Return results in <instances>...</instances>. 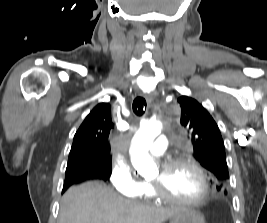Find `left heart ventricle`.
Listing matches in <instances>:
<instances>
[{"label": "left heart ventricle", "mask_w": 267, "mask_h": 223, "mask_svg": "<svg viewBox=\"0 0 267 223\" xmlns=\"http://www.w3.org/2000/svg\"><path fill=\"white\" fill-rule=\"evenodd\" d=\"M152 181L161 182L167 193L184 200L196 199L204 190L199 174L187 165L178 166L167 174H162L159 170Z\"/></svg>", "instance_id": "left-heart-ventricle-1"}]
</instances>
